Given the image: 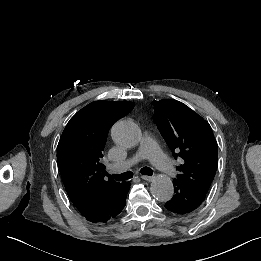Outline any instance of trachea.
Returning a JSON list of instances; mask_svg holds the SVG:
<instances>
[{"label": "trachea", "mask_w": 261, "mask_h": 261, "mask_svg": "<svg viewBox=\"0 0 261 261\" xmlns=\"http://www.w3.org/2000/svg\"><path fill=\"white\" fill-rule=\"evenodd\" d=\"M140 172L142 175H148V176H151L153 174V170L149 167H142L140 169ZM133 175H134L133 171H126L124 173L116 174V175L107 174L108 177L115 179L117 181H124V180L131 179Z\"/></svg>", "instance_id": "1"}]
</instances>
